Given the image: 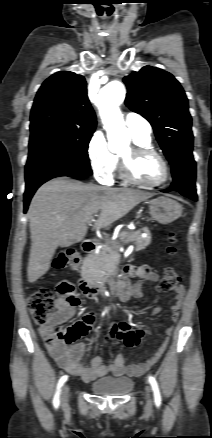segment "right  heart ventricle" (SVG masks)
Here are the masks:
<instances>
[{
    "instance_id": "e07e8e85",
    "label": "right heart ventricle",
    "mask_w": 212,
    "mask_h": 438,
    "mask_svg": "<svg viewBox=\"0 0 212 438\" xmlns=\"http://www.w3.org/2000/svg\"><path fill=\"white\" fill-rule=\"evenodd\" d=\"M135 144L140 145V146H151V137L148 138H142V137H137V136H132ZM116 159L118 160V157L116 156Z\"/></svg>"
}]
</instances>
